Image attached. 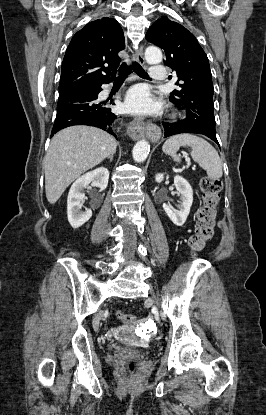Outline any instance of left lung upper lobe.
I'll return each mask as SVG.
<instances>
[{
    "mask_svg": "<svg viewBox=\"0 0 266 415\" xmlns=\"http://www.w3.org/2000/svg\"><path fill=\"white\" fill-rule=\"evenodd\" d=\"M148 42L163 49L164 63L178 77L170 100L187 113L185 122L215 133L210 65L197 39L182 25L163 17L149 28Z\"/></svg>",
    "mask_w": 266,
    "mask_h": 415,
    "instance_id": "left-lung-upper-lobe-1",
    "label": "left lung upper lobe"
}]
</instances>
